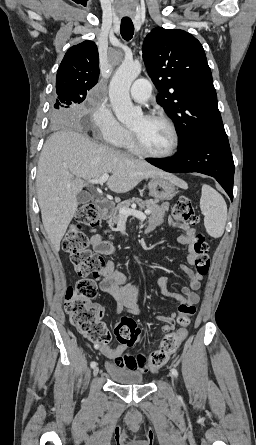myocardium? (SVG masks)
Here are the masks:
<instances>
[{
    "mask_svg": "<svg viewBox=\"0 0 256 445\" xmlns=\"http://www.w3.org/2000/svg\"><path fill=\"white\" fill-rule=\"evenodd\" d=\"M144 118L147 120H157V121H161V122L165 123L171 131L172 143H171V146L168 151H166L164 153H153V152H150L149 150H147L143 146L138 135L134 131L130 130V136H131L132 144H133L135 150L139 154H141L145 157L154 158V159H165V158H169V157L173 156L175 154V152L177 151V148L179 145V134H178V131H177V128H176L174 122L169 117H167L163 114H158V113L147 114L144 116Z\"/></svg>",
    "mask_w": 256,
    "mask_h": 445,
    "instance_id": "myocardium-1",
    "label": "myocardium"
}]
</instances>
